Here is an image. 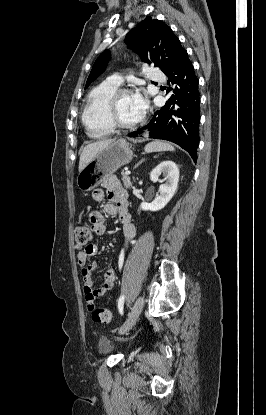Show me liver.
<instances>
[{"instance_id": "1", "label": "liver", "mask_w": 266, "mask_h": 415, "mask_svg": "<svg viewBox=\"0 0 266 415\" xmlns=\"http://www.w3.org/2000/svg\"><path fill=\"white\" fill-rule=\"evenodd\" d=\"M115 139L103 140L91 143L84 147L79 160V172L105 147L113 143Z\"/></svg>"}]
</instances>
